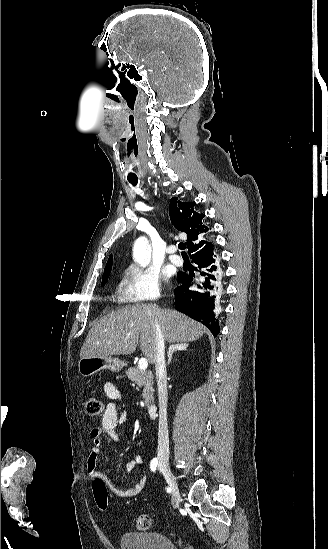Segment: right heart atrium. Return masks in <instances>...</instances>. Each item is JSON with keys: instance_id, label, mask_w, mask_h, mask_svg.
Returning <instances> with one entry per match:
<instances>
[{"instance_id": "obj_1", "label": "right heart atrium", "mask_w": 328, "mask_h": 549, "mask_svg": "<svg viewBox=\"0 0 328 549\" xmlns=\"http://www.w3.org/2000/svg\"><path fill=\"white\" fill-rule=\"evenodd\" d=\"M122 286L131 303H154L160 298V275L152 267L129 264L122 273Z\"/></svg>"}]
</instances>
